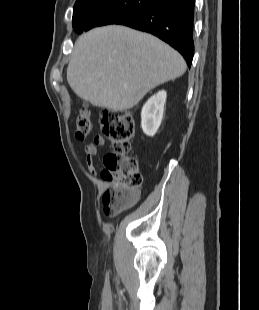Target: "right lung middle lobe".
Instances as JSON below:
<instances>
[{
    "instance_id": "right-lung-middle-lobe-1",
    "label": "right lung middle lobe",
    "mask_w": 259,
    "mask_h": 310,
    "mask_svg": "<svg viewBox=\"0 0 259 310\" xmlns=\"http://www.w3.org/2000/svg\"><path fill=\"white\" fill-rule=\"evenodd\" d=\"M155 0H103L73 11V29L78 34L97 26L115 24L153 4Z\"/></svg>"
}]
</instances>
